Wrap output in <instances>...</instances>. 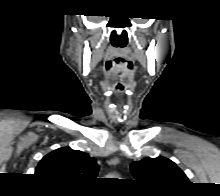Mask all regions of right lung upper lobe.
Segmentation results:
<instances>
[{
  "label": "right lung upper lobe",
  "instance_id": "obj_1",
  "mask_svg": "<svg viewBox=\"0 0 220 196\" xmlns=\"http://www.w3.org/2000/svg\"><path fill=\"white\" fill-rule=\"evenodd\" d=\"M96 160L84 152L59 148L39 162L35 174L64 184H87L98 174Z\"/></svg>",
  "mask_w": 220,
  "mask_h": 196
}]
</instances>
